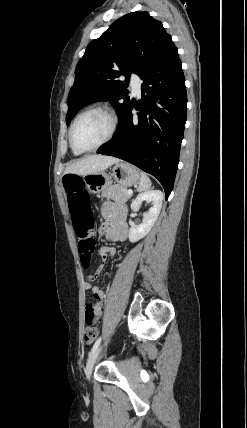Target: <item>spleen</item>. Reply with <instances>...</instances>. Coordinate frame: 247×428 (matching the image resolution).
<instances>
[{"instance_id":"obj_1","label":"spleen","mask_w":247,"mask_h":428,"mask_svg":"<svg viewBox=\"0 0 247 428\" xmlns=\"http://www.w3.org/2000/svg\"><path fill=\"white\" fill-rule=\"evenodd\" d=\"M151 187V181L149 177L144 173H140V183L138 187V191H145L148 190Z\"/></svg>"}]
</instances>
